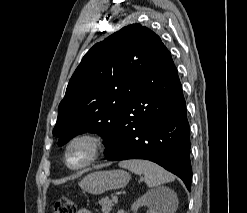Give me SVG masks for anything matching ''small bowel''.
I'll use <instances>...</instances> for the list:
<instances>
[{"label": "small bowel", "mask_w": 247, "mask_h": 213, "mask_svg": "<svg viewBox=\"0 0 247 213\" xmlns=\"http://www.w3.org/2000/svg\"><path fill=\"white\" fill-rule=\"evenodd\" d=\"M77 213H93V212H91V211H89L87 209H80V210L77 211Z\"/></svg>", "instance_id": "1"}]
</instances>
